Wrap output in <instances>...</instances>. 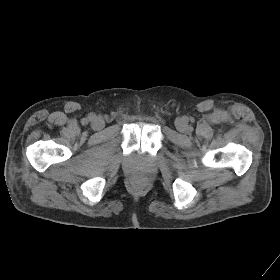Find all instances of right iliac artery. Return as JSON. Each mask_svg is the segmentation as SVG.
Returning a JSON list of instances; mask_svg holds the SVG:
<instances>
[{
  "label": "right iliac artery",
  "instance_id": "82829eb1",
  "mask_svg": "<svg viewBox=\"0 0 280 280\" xmlns=\"http://www.w3.org/2000/svg\"><path fill=\"white\" fill-rule=\"evenodd\" d=\"M93 118H94V116H90V117H88V119H85L83 122L87 123L88 121L93 120Z\"/></svg>",
  "mask_w": 280,
  "mask_h": 280
}]
</instances>
